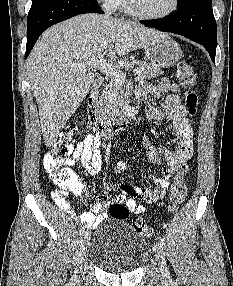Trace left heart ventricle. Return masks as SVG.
Masks as SVG:
<instances>
[{"label":"left heart ventricle","instance_id":"left-heart-ventricle-1","mask_svg":"<svg viewBox=\"0 0 233 286\" xmlns=\"http://www.w3.org/2000/svg\"><path fill=\"white\" fill-rule=\"evenodd\" d=\"M139 7L146 13L159 15L167 12L171 7L173 0H136Z\"/></svg>","mask_w":233,"mask_h":286}]
</instances>
